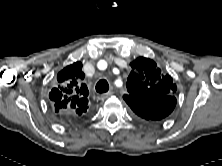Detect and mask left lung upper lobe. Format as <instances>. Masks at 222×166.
Segmentation results:
<instances>
[{"mask_svg": "<svg viewBox=\"0 0 222 166\" xmlns=\"http://www.w3.org/2000/svg\"><path fill=\"white\" fill-rule=\"evenodd\" d=\"M130 65L133 70L127 78L128 94H125L123 99L140 117L139 113L159 110L162 99L173 96L177 90L172 77L163 75L156 63L145 57L137 58Z\"/></svg>", "mask_w": 222, "mask_h": 166, "instance_id": "1", "label": "left lung upper lobe"}]
</instances>
